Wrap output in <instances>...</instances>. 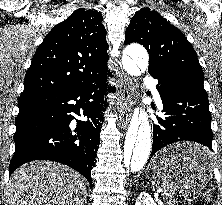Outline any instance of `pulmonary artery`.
<instances>
[{"instance_id":"obj_1","label":"pulmonary artery","mask_w":222,"mask_h":205,"mask_svg":"<svg viewBox=\"0 0 222 205\" xmlns=\"http://www.w3.org/2000/svg\"><path fill=\"white\" fill-rule=\"evenodd\" d=\"M145 84H147V85H149V86H151V87L153 88L154 96H155V98H156V101H157L159 104H161L160 96H159L158 92H157V91L155 90V88H154V84H155L154 79H153L152 77L147 76V77L145 78Z\"/></svg>"}]
</instances>
